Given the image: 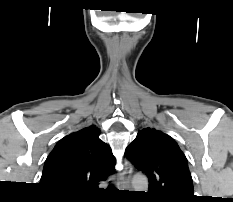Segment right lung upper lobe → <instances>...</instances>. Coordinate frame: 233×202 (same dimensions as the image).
I'll return each mask as SVG.
<instances>
[{"label":"right lung upper lobe","instance_id":"obj_1","mask_svg":"<svg viewBox=\"0 0 233 202\" xmlns=\"http://www.w3.org/2000/svg\"><path fill=\"white\" fill-rule=\"evenodd\" d=\"M90 126L61 139L46 159L40 184L57 196L85 197L114 171L110 147Z\"/></svg>","mask_w":233,"mask_h":202}]
</instances>
